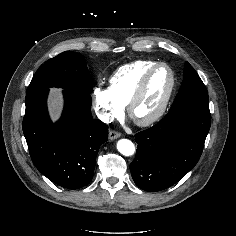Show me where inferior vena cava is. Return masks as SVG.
<instances>
[{"label":"inferior vena cava","mask_w":236,"mask_h":236,"mask_svg":"<svg viewBox=\"0 0 236 236\" xmlns=\"http://www.w3.org/2000/svg\"><path fill=\"white\" fill-rule=\"evenodd\" d=\"M95 112H96L97 117H98L101 121H103L104 123H109V122L111 121L109 114H106V113L101 112V111H99V110H95Z\"/></svg>","instance_id":"602c4592"}]
</instances>
